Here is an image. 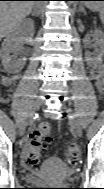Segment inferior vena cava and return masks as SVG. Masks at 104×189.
I'll use <instances>...</instances> for the list:
<instances>
[{
	"label": "inferior vena cava",
	"mask_w": 104,
	"mask_h": 189,
	"mask_svg": "<svg viewBox=\"0 0 104 189\" xmlns=\"http://www.w3.org/2000/svg\"><path fill=\"white\" fill-rule=\"evenodd\" d=\"M42 6H43V3L38 1V2H36L34 8H35V10H37V12H39L40 7H42Z\"/></svg>",
	"instance_id": "obj_1"
}]
</instances>
